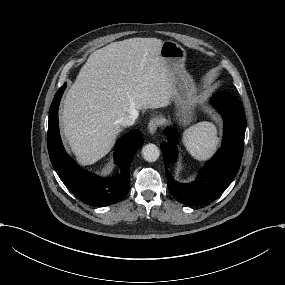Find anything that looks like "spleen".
Segmentation results:
<instances>
[{
	"label": "spleen",
	"mask_w": 285,
	"mask_h": 285,
	"mask_svg": "<svg viewBox=\"0 0 285 285\" xmlns=\"http://www.w3.org/2000/svg\"><path fill=\"white\" fill-rule=\"evenodd\" d=\"M219 143L216 126L207 121L199 122L185 130L183 144L192 157L203 161L211 157Z\"/></svg>",
	"instance_id": "obj_1"
}]
</instances>
